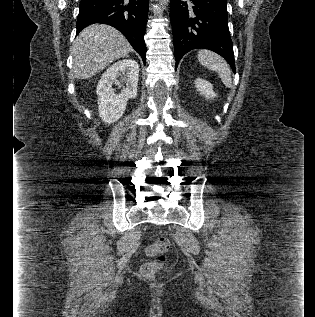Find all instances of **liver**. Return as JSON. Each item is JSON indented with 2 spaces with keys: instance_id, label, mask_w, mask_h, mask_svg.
Here are the masks:
<instances>
[{
  "instance_id": "6515ba94",
  "label": "liver",
  "mask_w": 315,
  "mask_h": 317,
  "mask_svg": "<svg viewBox=\"0 0 315 317\" xmlns=\"http://www.w3.org/2000/svg\"><path fill=\"white\" fill-rule=\"evenodd\" d=\"M131 51L132 47L118 30L103 24L91 25L80 32L71 47L74 77L90 78Z\"/></svg>"
}]
</instances>
